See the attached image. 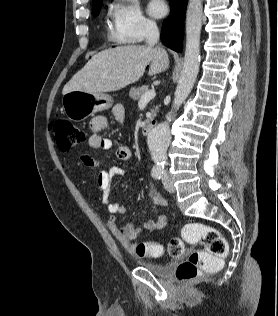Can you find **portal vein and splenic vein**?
Wrapping results in <instances>:
<instances>
[{
  "label": "portal vein and splenic vein",
  "mask_w": 278,
  "mask_h": 316,
  "mask_svg": "<svg viewBox=\"0 0 278 316\" xmlns=\"http://www.w3.org/2000/svg\"><path fill=\"white\" fill-rule=\"evenodd\" d=\"M156 93L154 89H150L144 93V95L140 98L139 104L149 102L151 99L155 97Z\"/></svg>",
  "instance_id": "18ae733b"
}]
</instances>
